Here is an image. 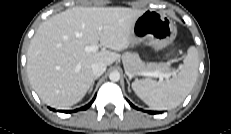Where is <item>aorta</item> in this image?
I'll return each mask as SVG.
<instances>
[{"label":"aorta","mask_w":231,"mask_h":134,"mask_svg":"<svg viewBox=\"0 0 231 134\" xmlns=\"http://www.w3.org/2000/svg\"><path fill=\"white\" fill-rule=\"evenodd\" d=\"M109 79L113 82H117L120 80V73L118 71H112L109 74Z\"/></svg>","instance_id":"1"}]
</instances>
